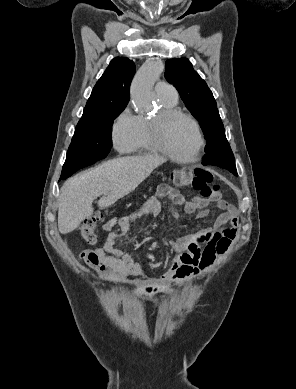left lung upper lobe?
<instances>
[{
	"label": "left lung upper lobe",
	"instance_id": "obj_1",
	"mask_svg": "<svg viewBox=\"0 0 296 389\" xmlns=\"http://www.w3.org/2000/svg\"><path fill=\"white\" fill-rule=\"evenodd\" d=\"M165 78L175 86L186 107L200 122L207 140V154L225 137L224 126L211 90L186 58L167 60Z\"/></svg>",
	"mask_w": 296,
	"mask_h": 389
}]
</instances>
